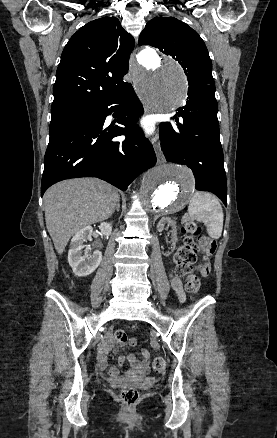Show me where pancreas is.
I'll use <instances>...</instances> for the list:
<instances>
[{"instance_id": "cf45deb5", "label": "pancreas", "mask_w": 277, "mask_h": 438, "mask_svg": "<svg viewBox=\"0 0 277 438\" xmlns=\"http://www.w3.org/2000/svg\"><path fill=\"white\" fill-rule=\"evenodd\" d=\"M182 220H183V222L188 223V222H190L191 217H190V215L185 214V215H183Z\"/></svg>"}]
</instances>
